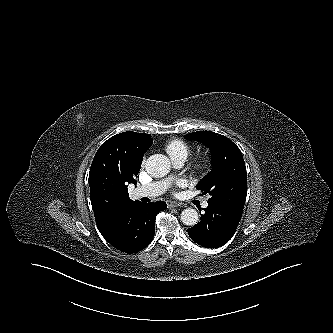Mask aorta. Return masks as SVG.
Here are the masks:
<instances>
[{
    "instance_id": "obj_1",
    "label": "aorta",
    "mask_w": 333,
    "mask_h": 333,
    "mask_svg": "<svg viewBox=\"0 0 333 333\" xmlns=\"http://www.w3.org/2000/svg\"><path fill=\"white\" fill-rule=\"evenodd\" d=\"M145 168L148 174L160 178L166 176L171 170V163L167 156L155 154L150 156ZM198 212L193 208H186L181 212V221L187 226H194L198 222Z\"/></svg>"
}]
</instances>
